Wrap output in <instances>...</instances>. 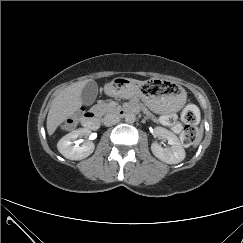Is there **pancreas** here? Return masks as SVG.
<instances>
[{
    "instance_id": "obj_1",
    "label": "pancreas",
    "mask_w": 243,
    "mask_h": 243,
    "mask_svg": "<svg viewBox=\"0 0 243 243\" xmlns=\"http://www.w3.org/2000/svg\"><path fill=\"white\" fill-rule=\"evenodd\" d=\"M97 109H103V110H108L110 108V105L108 103H101L97 105Z\"/></svg>"
}]
</instances>
